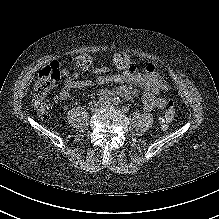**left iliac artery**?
Segmentation results:
<instances>
[{"label":"left iliac artery","instance_id":"44dca946","mask_svg":"<svg viewBox=\"0 0 219 219\" xmlns=\"http://www.w3.org/2000/svg\"><path fill=\"white\" fill-rule=\"evenodd\" d=\"M112 101H113L114 105H119L121 102L119 97L114 98Z\"/></svg>","mask_w":219,"mask_h":219}]
</instances>
